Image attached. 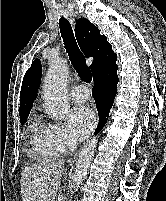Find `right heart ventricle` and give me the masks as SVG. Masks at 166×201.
Instances as JSON below:
<instances>
[{
  "mask_svg": "<svg viewBox=\"0 0 166 201\" xmlns=\"http://www.w3.org/2000/svg\"><path fill=\"white\" fill-rule=\"evenodd\" d=\"M29 133L30 153L35 159L47 161L59 155L51 138L50 124L36 119L31 123Z\"/></svg>",
  "mask_w": 166,
  "mask_h": 201,
  "instance_id": "right-heart-ventricle-1",
  "label": "right heart ventricle"
}]
</instances>
